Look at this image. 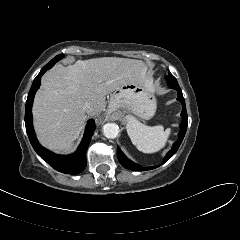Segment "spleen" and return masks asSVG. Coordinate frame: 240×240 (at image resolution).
Returning a JSON list of instances; mask_svg holds the SVG:
<instances>
[{
  "label": "spleen",
  "instance_id": "3e777b00",
  "mask_svg": "<svg viewBox=\"0 0 240 240\" xmlns=\"http://www.w3.org/2000/svg\"><path fill=\"white\" fill-rule=\"evenodd\" d=\"M127 133L133 145L143 153H155L161 150L170 135V129L163 126H147L134 117L127 118Z\"/></svg>",
  "mask_w": 240,
  "mask_h": 240
}]
</instances>
